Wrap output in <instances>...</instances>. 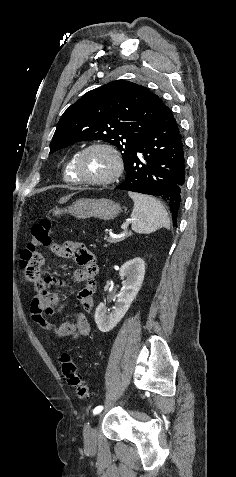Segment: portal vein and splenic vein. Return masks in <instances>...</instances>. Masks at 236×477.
I'll list each match as a JSON object with an SVG mask.
<instances>
[{
  "instance_id": "obj_1",
  "label": "portal vein and splenic vein",
  "mask_w": 236,
  "mask_h": 477,
  "mask_svg": "<svg viewBox=\"0 0 236 477\" xmlns=\"http://www.w3.org/2000/svg\"><path fill=\"white\" fill-rule=\"evenodd\" d=\"M127 228H128V224H127V223L122 224L121 229H122L123 231H126Z\"/></svg>"
}]
</instances>
